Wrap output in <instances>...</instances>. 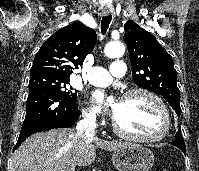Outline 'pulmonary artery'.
Wrapping results in <instances>:
<instances>
[{
    "instance_id": "e3ab8cb5",
    "label": "pulmonary artery",
    "mask_w": 199,
    "mask_h": 171,
    "mask_svg": "<svg viewBox=\"0 0 199 171\" xmlns=\"http://www.w3.org/2000/svg\"><path fill=\"white\" fill-rule=\"evenodd\" d=\"M126 66L122 60H114L109 71L102 67H91L87 70V80L95 86H107L112 82L113 77H122L125 74Z\"/></svg>"
}]
</instances>
